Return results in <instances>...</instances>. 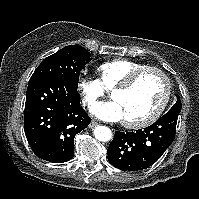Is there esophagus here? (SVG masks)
I'll return each instance as SVG.
<instances>
[{
    "label": "esophagus",
    "mask_w": 199,
    "mask_h": 199,
    "mask_svg": "<svg viewBox=\"0 0 199 199\" xmlns=\"http://www.w3.org/2000/svg\"><path fill=\"white\" fill-rule=\"evenodd\" d=\"M97 125H98V123L96 121H91V123L89 124V127L93 128V127H95Z\"/></svg>",
    "instance_id": "1"
}]
</instances>
